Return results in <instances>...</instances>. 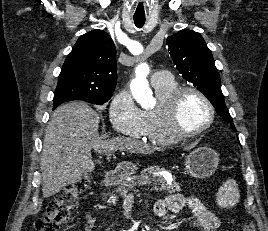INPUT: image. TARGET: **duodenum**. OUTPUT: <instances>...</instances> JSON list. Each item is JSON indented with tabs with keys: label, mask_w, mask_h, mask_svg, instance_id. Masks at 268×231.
Wrapping results in <instances>:
<instances>
[{
	"label": "duodenum",
	"mask_w": 268,
	"mask_h": 231,
	"mask_svg": "<svg viewBox=\"0 0 268 231\" xmlns=\"http://www.w3.org/2000/svg\"><path fill=\"white\" fill-rule=\"evenodd\" d=\"M120 174L117 169L111 170L104 178L102 186H111L117 184L120 181Z\"/></svg>",
	"instance_id": "1"
}]
</instances>
